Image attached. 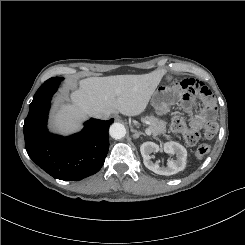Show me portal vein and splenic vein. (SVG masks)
Listing matches in <instances>:
<instances>
[{
  "label": "portal vein and splenic vein",
  "mask_w": 245,
  "mask_h": 245,
  "mask_svg": "<svg viewBox=\"0 0 245 245\" xmlns=\"http://www.w3.org/2000/svg\"><path fill=\"white\" fill-rule=\"evenodd\" d=\"M145 133H146L147 135H149V136H150V135H151V131H150V129H149V128H146V129H145Z\"/></svg>",
  "instance_id": "obj_1"
}]
</instances>
